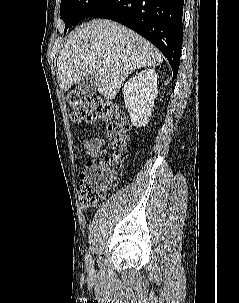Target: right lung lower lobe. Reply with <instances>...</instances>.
<instances>
[{
    "mask_svg": "<svg viewBox=\"0 0 239 303\" xmlns=\"http://www.w3.org/2000/svg\"><path fill=\"white\" fill-rule=\"evenodd\" d=\"M184 0H106L87 17L115 20L152 42L177 77L183 37Z\"/></svg>",
    "mask_w": 239,
    "mask_h": 303,
    "instance_id": "right-lung-lower-lobe-1",
    "label": "right lung lower lobe"
}]
</instances>
